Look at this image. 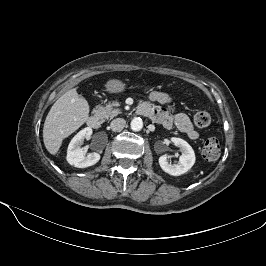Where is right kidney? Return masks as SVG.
<instances>
[{"mask_svg":"<svg viewBox=\"0 0 266 266\" xmlns=\"http://www.w3.org/2000/svg\"><path fill=\"white\" fill-rule=\"evenodd\" d=\"M91 134L92 129L90 127H86L73 137L69 143L66 158L70 165L77 168H86L96 164L100 160V154L95 152L89 153L86 156L84 150L81 148L84 139L90 137Z\"/></svg>","mask_w":266,"mask_h":266,"instance_id":"obj_1","label":"right kidney"}]
</instances>
